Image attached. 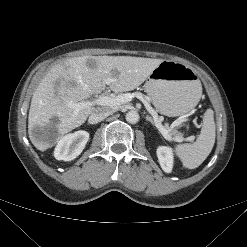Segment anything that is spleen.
Instances as JSON below:
<instances>
[{
	"label": "spleen",
	"mask_w": 247,
	"mask_h": 247,
	"mask_svg": "<svg viewBox=\"0 0 247 247\" xmlns=\"http://www.w3.org/2000/svg\"><path fill=\"white\" fill-rule=\"evenodd\" d=\"M216 126L212 110H207L203 116L200 135L193 144H179L175 146L176 155L181 159L183 166L195 169L208 157L215 143Z\"/></svg>",
	"instance_id": "obj_1"
}]
</instances>
